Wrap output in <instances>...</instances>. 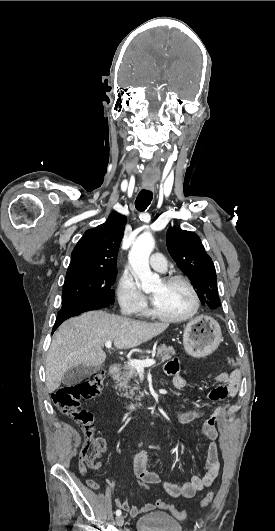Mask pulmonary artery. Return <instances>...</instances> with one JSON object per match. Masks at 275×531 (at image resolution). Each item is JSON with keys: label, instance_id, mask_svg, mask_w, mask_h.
Segmentation results:
<instances>
[{"label": "pulmonary artery", "instance_id": "1", "mask_svg": "<svg viewBox=\"0 0 275 531\" xmlns=\"http://www.w3.org/2000/svg\"><path fill=\"white\" fill-rule=\"evenodd\" d=\"M165 257L163 254H154L151 256V263L154 267L153 272L157 276L166 275L168 273V268L164 264Z\"/></svg>", "mask_w": 275, "mask_h": 531}]
</instances>
